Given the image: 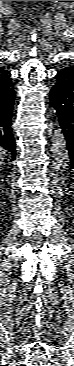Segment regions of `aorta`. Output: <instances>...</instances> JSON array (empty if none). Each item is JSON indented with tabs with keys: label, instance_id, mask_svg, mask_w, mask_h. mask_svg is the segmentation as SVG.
<instances>
[{
	"label": "aorta",
	"instance_id": "1",
	"mask_svg": "<svg viewBox=\"0 0 74 366\" xmlns=\"http://www.w3.org/2000/svg\"><path fill=\"white\" fill-rule=\"evenodd\" d=\"M55 130L53 132L52 140V168L54 170H61L67 166L68 163V151L66 140L62 129L60 128L59 122L55 123Z\"/></svg>",
	"mask_w": 74,
	"mask_h": 366
}]
</instances>
